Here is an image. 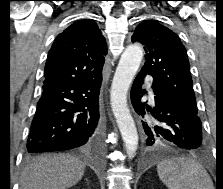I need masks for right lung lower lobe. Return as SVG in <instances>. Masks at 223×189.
Masks as SVG:
<instances>
[{"label":"right lung lower lobe","instance_id":"obj_1","mask_svg":"<svg viewBox=\"0 0 223 189\" xmlns=\"http://www.w3.org/2000/svg\"><path fill=\"white\" fill-rule=\"evenodd\" d=\"M101 83L102 74L80 81L44 84L28 137L27 153L96 146L102 131Z\"/></svg>","mask_w":223,"mask_h":189}]
</instances>
